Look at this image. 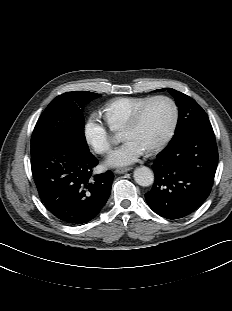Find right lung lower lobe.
<instances>
[{"instance_id": "obj_1", "label": "right lung lower lobe", "mask_w": 232, "mask_h": 311, "mask_svg": "<svg viewBox=\"0 0 232 311\" xmlns=\"http://www.w3.org/2000/svg\"><path fill=\"white\" fill-rule=\"evenodd\" d=\"M98 160L90 153L59 141L31 147V168L39 196L61 221L77 225L91 221L111 193L113 173L92 176Z\"/></svg>"}]
</instances>
